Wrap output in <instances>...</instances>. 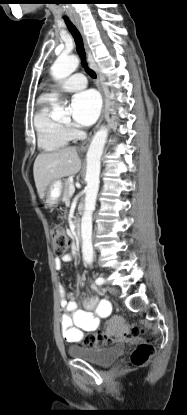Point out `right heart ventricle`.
Wrapping results in <instances>:
<instances>
[{
  "instance_id": "obj_1",
  "label": "right heart ventricle",
  "mask_w": 187,
  "mask_h": 415,
  "mask_svg": "<svg viewBox=\"0 0 187 415\" xmlns=\"http://www.w3.org/2000/svg\"><path fill=\"white\" fill-rule=\"evenodd\" d=\"M51 98L44 96L34 116V127L37 133L38 146L45 151H56L65 147L72 136L67 128L53 120L49 113Z\"/></svg>"
}]
</instances>
